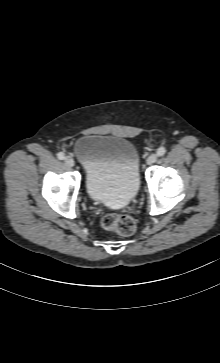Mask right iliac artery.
<instances>
[{
	"label": "right iliac artery",
	"mask_w": 220,
	"mask_h": 363,
	"mask_svg": "<svg viewBox=\"0 0 220 363\" xmlns=\"http://www.w3.org/2000/svg\"><path fill=\"white\" fill-rule=\"evenodd\" d=\"M57 157H58L60 160H63V159L65 158V155H64V153H63V152H59V153L57 154Z\"/></svg>",
	"instance_id": "obj_1"
}]
</instances>
